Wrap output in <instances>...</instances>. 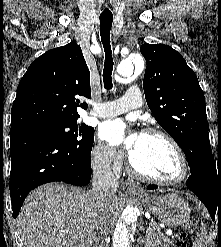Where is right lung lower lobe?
<instances>
[{
    "label": "right lung lower lobe",
    "instance_id": "right-lung-lower-lobe-1",
    "mask_svg": "<svg viewBox=\"0 0 221 247\" xmlns=\"http://www.w3.org/2000/svg\"><path fill=\"white\" fill-rule=\"evenodd\" d=\"M10 193L16 218L28 193L39 185L61 181L85 186L91 179L90 153L68 147L42 133L10 131Z\"/></svg>",
    "mask_w": 221,
    "mask_h": 247
}]
</instances>
